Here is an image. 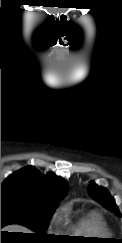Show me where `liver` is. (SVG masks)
Wrapping results in <instances>:
<instances>
[{"instance_id": "6515ba94", "label": "liver", "mask_w": 122, "mask_h": 243, "mask_svg": "<svg viewBox=\"0 0 122 243\" xmlns=\"http://www.w3.org/2000/svg\"><path fill=\"white\" fill-rule=\"evenodd\" d=\"M1 231L31 233L30 230L20 225H9Z\"/></svg>"}]
</instances>
